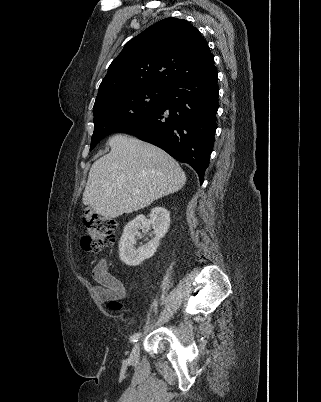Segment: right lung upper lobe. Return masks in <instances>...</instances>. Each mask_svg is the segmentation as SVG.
<instances>
[{
	"instance_id": "1",
	"label": "right lung upper lobe",
	"mask_w": 321,
	"mask_h": 402,
	"mask_svg": "<svg viewBox=\"0 0 321 402\" xmlns=\"http://www.w3.org/2000/svg\"><path fill=\"white\" fill-rule=\"evenodd\" d=\"M214 63L208 44L188 21L166 18L131 39L109 66L95 103L147 87L166 88Z\"/></svg>"
}]
</instances>
